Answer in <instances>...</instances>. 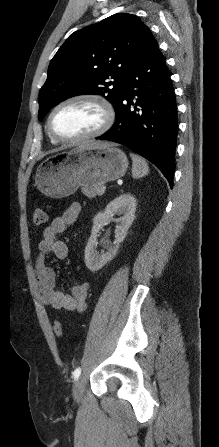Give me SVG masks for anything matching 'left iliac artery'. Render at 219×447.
<instances>
[{"instance_id":"1","label":"left iliac artery","mask_w":219,"mask_h":447,"mask_svg":"<svg viewBox=\"0 0 219 447\" xmlns=\"http://www.w3.org/2000/svg\"><path fill=\"white\" fill-rule=\"evenodd\" d=\"M80 374H81V368L78 367V368H76L75 371L73 372L74 379L77 380V379L79 378Z\"/></svg>"}]
</instances>
